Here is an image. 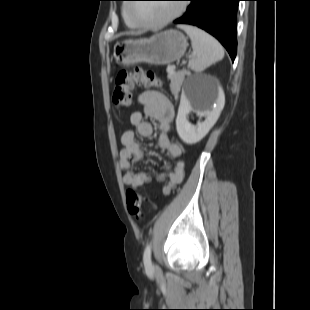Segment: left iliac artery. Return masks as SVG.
I'll list each match as a JSON object with an SVG mask.
<instances>
[{
    "mask_svg": "<svg viewBox=\"0 0 310 310\" xmlns=\"http://www.w3.org/2000/svg\"><path fill=\"white\" fill-rule=\"evenodd\" d=\"M143 262H144V266L146 271L150 272L152 271V262H151V244H147L145 250H144V254H143Z\"/></svg>",
    "mask_w": 310,
    "mask_h": 310,
    "instance_id": "left-iliac-artery-1",
    "label": "left iliac artery"
}]
</instances>
